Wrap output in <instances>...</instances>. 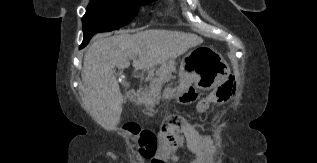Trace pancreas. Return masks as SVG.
Returning a JSON list of instances; mask_svg holds the SVG:
<instances>
[{
  "label": "pancreas",
  "instance_id": "cf45deb5",
  "mask_svg": "<svg viewBox=\"0 0 317 163\" xmlns=\"http://www.w3.org/2000/svg\"><path fill=\"white\" fill-rule=\"evenodd\" d=\"M175 72V62L169 61L165 64H162L161 67L156 71L155 77L150 75L148 76V80H150L149 90L147 92L150 101L147 105H151L155 100L153 96L158 94L161 91L162 85L172 79L174 76L172 73Z\"/></svg>",
  "mask_w": 317,
  "mask_h": 163
}]
</instances>
